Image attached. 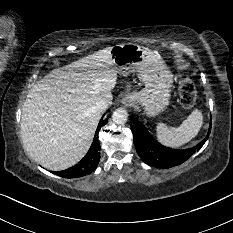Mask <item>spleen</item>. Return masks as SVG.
<instances>
[{
	"mask_svg": "<svg viewBox=\"0 0 233 233\" xmlns=\"http://www.w3.org/2000/svg\"><path fill=\"white\" fill-rule=\"evenodd\" d=\"M202 124V112L195 109L179 127H168L163 123H158L156 127L157 138L166 146L181 147L198 134Z\"/></svg>",
	"mask_w": 233,
	"mask_h": 233,
	"instance_id": "spleen-1",
	"label": "spleen"
}]
</instances>
